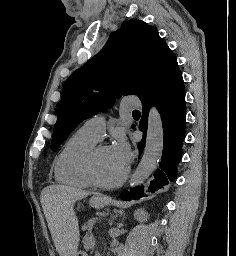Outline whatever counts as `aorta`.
Masks as SVG:
<instances>
[{"instance_id":"1","label":"aorta","mask_w":236,"mask_h":256,"mask_svg":"<svg viewBox=\"0 0 236 256\" xmlns=\"http://www.w3.org/2000/svg\"><path fill=\"white\" fill-rule=\"evenodd\" d=\"M164 133L161 115L155 106L151 107L148 115L146 143L141 161L130 179V186L144 183L156 170L162 157Z\"/></svg>"}]
</instances>
